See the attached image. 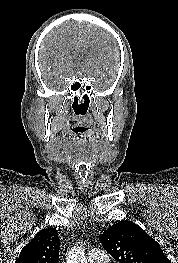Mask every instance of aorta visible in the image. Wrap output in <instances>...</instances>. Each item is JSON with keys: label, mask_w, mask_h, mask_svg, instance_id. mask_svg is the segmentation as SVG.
<instances>
[{"label": "aorta", "mask_w": 178, "mask_h": 263, "mask_svg": "<svg viewBox=\"0 0 178 263\" xmlns=\"http://www.w3.org/2000/svg\"><path fill=\"white\" fill-rule=\"evenodd\" d=\"M67 263H87V259L84 255L82 248L77 247L69 252Z\"/></svg>", "instance_id": "762f6f07"}]
</instances>
